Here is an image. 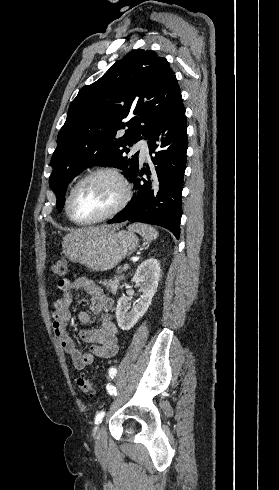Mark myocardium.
Instances as JSON below:
<instances>
[{
	"label": "myocardium",
	"instance_id": "myocardium-1",
	"mask_svg": "<svg viewBox=\"0 0 279 490\" xmlns=\"http://www.w3.org/2000/svg\"><path fill=\"white\" fill-rule=\"evenodd\" d=\"M101 175H106L114 178L120 185L121 187V197L120 199L113 205L112 208L101 214L100 216H97L93 219L82 221L78 220L74 216V199L76 196V193L81 186L82 183H84L86 180L96 177V176H101ZM131 198V188L130 184L126 178V176L122 173V171L116 167L112 166H100L93 168L91 170H88L85 172L83 175H81L78 180L73 184L71 192H70V198H69V214L71 219L79 224V225H89L93 223H98L105 221L118 213H120L127 203L129 202Z\"/></svg>",
	"mask_w": 279,
	"mask_h": 490
}]
</instances>
